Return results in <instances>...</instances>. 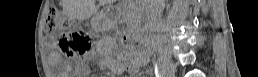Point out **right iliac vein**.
Segmentation results:
<instances>
[{"instance_id":"right-iliac-vein-1","label":"right iliac vein","mask_w":258,"mask_h":77,"mask_svg":"<svg viewBox=\"0 0 258 77\" xmlns=\"http://www.w3.org/2000/svg\"><path fill=\"white\" fill-rule=\"evenodd\" d=\"M159 62H160L162 72L168 77H173L174 67L169 57L164 54H160Z\"/></svg>"}]
</instances>
